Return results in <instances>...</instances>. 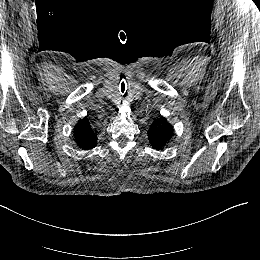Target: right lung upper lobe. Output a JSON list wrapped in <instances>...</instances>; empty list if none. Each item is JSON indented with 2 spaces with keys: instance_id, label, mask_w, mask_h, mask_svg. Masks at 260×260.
Instances as JSON below:
<instances>
[{
  "instance_id": "right-lung-upper-lobe-1",
  "label": "right lung upper lobe",
  "mask_w": 260,
  "mask_h": 260,
  "mask_svg": "<svg viewBox=\"0 0 260 260\" xmlns=\"http://www.w3.org/2000/svg\"><path fill=\"white\" fill-rule=\"evenodd\" d=\"M96 131L90 125L85 117L80 120L74 127V135L76 143L85 150L93 148L97 143Z\"/></svg>"
}]
</instances>
